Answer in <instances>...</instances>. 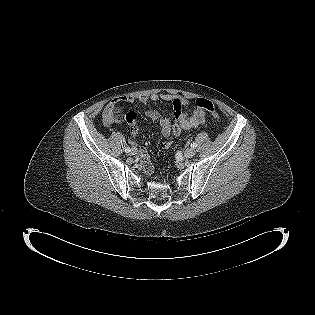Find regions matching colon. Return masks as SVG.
Wrapping results in <instances>:
<instances>
[{
	"mask_svg": "<svg viewBox=\"0 0 315 315\" xmlns=\"http://www.w3.org/2000/svg\"><path fill=\"white\" fill-rule=\"evenodd\" d=\"M196 106L207 111L214 120H219L220 116L217 112L215 105L208 99L198 98L196 100ZM125 120L127 123L135 125L137 122V116L133 112H129L125 115L121 113L120 108L116 104L111 110V122H121Z\"/></svg>",
	"mask_w": 315,
	"mask_h": 315,
	"instance_id": "obj_1",
	"label": "colon"
}]
</instances>
